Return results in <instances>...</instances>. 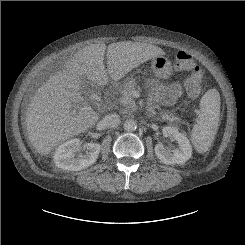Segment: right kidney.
<instances>
[{"mask_svg":"<svg viewBox=\"0 0 245 245\" xmlns=\"http://www.w3.org/2000/svg\"><path fill=\"white\" fill-rule=\"evenodd\" d=\"M86 153H80L81 149ZM101 146L98 143H86L75 138L59 145L54 153V163L58 168L70 171H79L94 164L100 153Z\"/></svg>","mask_w":245,"mask_h":245,"instance_id":"ca27d5eb","label":"right kidney"}]
</instances>
